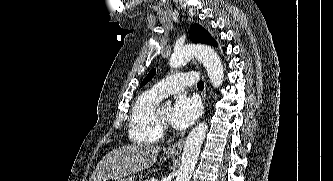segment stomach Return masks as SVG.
Instances as JSON below:
<instances>
[{"instance_id":"obj_1","label":"stomach","mask_w":333,"mask_h":181,"mask_svg":"<svg viewBox=\"0 0 333 181\" xmlns=\"http://www.w3.org/2000/svg\"><path fill=\"white\" fill-rule=\"evenodd\" d=\"M174 155H168L166 158H173ZM119 181H137V176L133 175V176H128V177H124L121 178Z\"/></svg>"}]
</instances>
